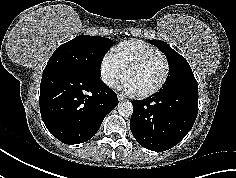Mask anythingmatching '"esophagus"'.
<instances>
[{
    "mask_svg": "<svg viewBox=\"0 0 236 178\" xmlns=\"http://www.w3.org/2000/svg\"><path fill=\"white\" fill-rule=\"evenodd\" d=\"M118 100H119V101H124L125 98H124L122 95H118Z\"/></svg>",
    "mask_w": 236,
    "mask_h": 178,
    "instance_id": "1",
    "label": "esophagus"
}]
</instances>
